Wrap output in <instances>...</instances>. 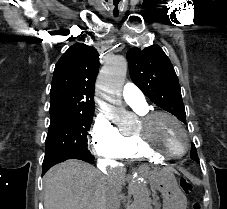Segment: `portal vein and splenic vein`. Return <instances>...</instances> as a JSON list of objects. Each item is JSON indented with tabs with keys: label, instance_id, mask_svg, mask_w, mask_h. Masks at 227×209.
Masks as SVG:
<instances>
[{
	"label": "portal vein and splenic vein",
	"instance_id": "obj_1",
	"mask_svg": "<svg viewBox=\"0 0 227 209\" xmlns=\"http://www.w3.org/2000/svg\"><path fill=\"white\" fill-rule=\"evenodd\" d=\"M158 197L159 196L156 194L153 199L156 201L158 199Z\"/></svg>",
	"mask_w": 227,
	"mask_h": 209
}]
</instances>
